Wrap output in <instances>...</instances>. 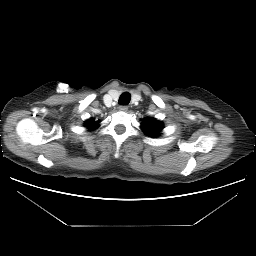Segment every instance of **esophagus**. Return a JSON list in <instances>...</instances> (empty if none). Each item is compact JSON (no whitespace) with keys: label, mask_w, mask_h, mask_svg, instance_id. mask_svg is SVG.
<instances>
[{"label":"esophagus","mask_w":256,"mask_h":256,"mask_svg":"<svg viewBox=\"0 0 256 256\" xmlns=\"http://www.w3.org/2000/svg\"><path fill=\"white\" fill-rule=\"evenodd\" d=\"M119 110L122 112H126L128 110V106H119Z\"/></svg>","instance_id":"esophagus-1"}]
</instances>
